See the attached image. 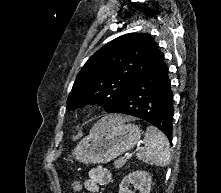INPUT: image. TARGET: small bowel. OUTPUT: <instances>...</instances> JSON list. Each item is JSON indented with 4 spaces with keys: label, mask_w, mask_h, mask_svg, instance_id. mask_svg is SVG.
<instances>
[{
    "label": "small bowel",
    "mask_w": 221,
    "mask_h": 193,
    "mask_svg": "<svg viewBox=\"0 0 221 193\" xmlns=\"http://www.w3.org/2000/svg\"><path fill=\"white\" fill-rule=\"evenodd\" d=\"M111 181V173L104 167H93L90 169L88 178L84 182V187L91 193H97L101 186Z\"/></svg>",
    "instance_id": "small-bowel-1"
}]
</instances>
